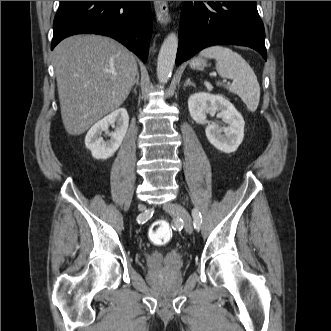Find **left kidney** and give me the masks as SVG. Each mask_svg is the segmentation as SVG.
Masks as SVG:
<instances>
[{"mask_svg":"<svg viewBox=\"0 0 331 331\" xmlns=\"http://www.w3.org/2000/svg\"><path fill=\"white\" fill-rule=\"evenodd\" d=\"M188 109L192 119L198 123H206V114H215L228 123L221 129L216 124H209L205 133L209 142L225 153L235 152L243 141L244 119L234 105L221 95L205 92L193 94L188 99Z\"/></svg>","mask_w":331,"mask_h":331,"instance_id":"obj_1","label":"left kidney"}]
</instances>
